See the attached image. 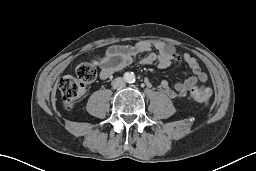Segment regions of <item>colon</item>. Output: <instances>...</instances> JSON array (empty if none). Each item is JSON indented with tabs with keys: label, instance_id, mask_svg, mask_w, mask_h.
Masks as SVG:
<instances>
[{
	"label": "colon",
	"instance_id": "obj_1",
	"mask_svg": "<svg viewBox=\"0 0 256 171\" xmlns=\"http://www.w3.org/2000/svg\"><path fill=\"white\" fill-rule=\"evenodd\" d=\"M97 75L96 68L90 63H81L75 70V75H66L59 81L58 88L62 101L66 106L75 104L85 93L86 86L92 83ZM192 99L198 103L208 105L213 92L207 85H197L191 89Z\"/></svg>",
	"mask_w": 256,
	"mask_h": 171
}]
</instances>
